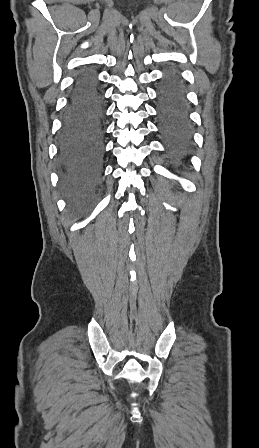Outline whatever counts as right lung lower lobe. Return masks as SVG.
Masks as SVG:
<instances>
[{"mask_svg": "<svg viewBox=\"0 0 259 448\" xmlns=\"http://www.w3.org/2000/svg\"><path fill=\"white\" fill-rule=\"evenodd\" d=\"M104 98L95 73H79L71 90L58 136L57 165L63 182L95 184L104 160Z\"/></svg>", "mask_w": 259, "mask_h": 448, "instance_id": "obj_1", "label": "right lung lower lobe"}]
</instances>
